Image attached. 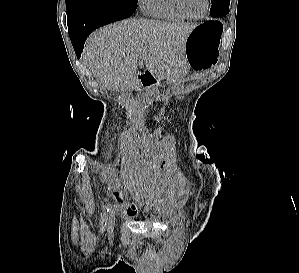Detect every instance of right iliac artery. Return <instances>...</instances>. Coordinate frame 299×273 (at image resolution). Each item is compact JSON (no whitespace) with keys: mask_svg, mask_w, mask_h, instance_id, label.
I'll return each instance as SVG.
<instances>
[{"mask_svg":"<svg viewBox=\"0 0 299 273\" xmlns=\"http://www.w3.org/2000/svg\"><path fill=\"white\" fill-rule=\"evenodd\" d=\"M108 210L109 209L107 208V206L104 207V209H103V213H102V224L103 225L106 224Z\"/></svg>","mask_w":299,"mask_h":273,"instance_id":"right-iliac-artery-1","label":"right iliac artery"}]
</instances>
